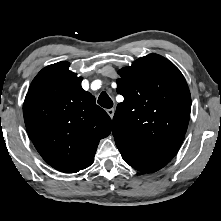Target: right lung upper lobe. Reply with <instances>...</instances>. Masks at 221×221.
<instances>
[{
  "label": "right lung upper lobe",
  "instance_id": "right-lung-upper-lobe-1",
  "mask_svg": "<svg viewBox=\"0 0 221 221\" xmlns=\"http://www.w3.org/2000/svg\"><path fill=\"white\" fill-rule=\"evenodd\" d=\"M81 81L68 62L49 65L32 81L23 105L35 148L50 166L64 173L89 167L99 141L112 130L111 118L82 89Z\"/></svg>",
  "mask_w": 221,
  "mask_h": 221
}]
</instances>
